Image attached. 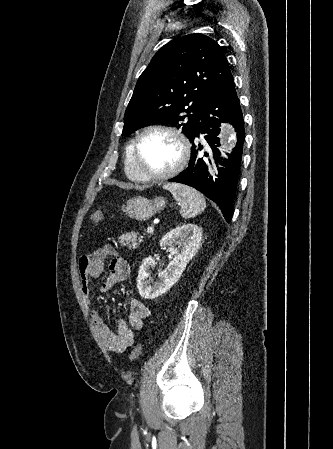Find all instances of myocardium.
<instances>
[{
    "label": "myocardium",
    "instance_id": "obj_1",
    "mask_svg": "<svg viewBox=\"0 0 333 449\" xmlns=\"http://www.w3.org/2000/svg\"><path fill=\"white\" fill-rule=\"evenodd\" d=\"M151 132H162L173 137L177 141L180 148V157L177 163L171 169L163 173L147 174L142 170L140 165V144L143 138ZM189 158H190V144L187 138L179 130L167 125L163 124L149 125L138 134V136L135 138L133 142L134 167L141 180L145 182L162 181L174 177L186 167Z\"/></svg>",
    "mask_w": 333,
    "mask_h": 449
}]
</instances>
